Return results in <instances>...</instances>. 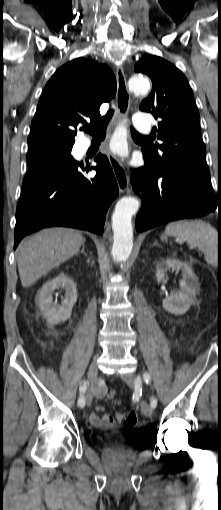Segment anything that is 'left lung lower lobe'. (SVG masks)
<instances>
[{
    "instance_id": "obj_1",
    "label": "left lung lower lobe",
    "mask_w": 221,
    "mask_h": 510,
    "mask_svg": "<svg viewBox=\"0 0 221 510\" xmlns=\"http://www.w3.org/2000/svg\"><path fill=\"white\" fill-rule=\"evenodd\" d=\"M143 157L146 160L144 167L131 174L133 189L142 198V207L136 216L137 231L143 232L175 220L205 216L218 209L220 237L221 193L215 194L210 179L184 172L160 171L153 167L144 151Z\"/></svg>"
}]
</instances>
